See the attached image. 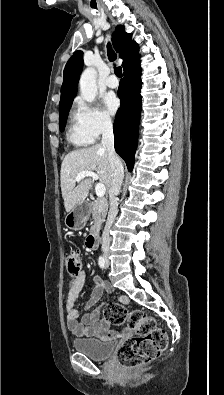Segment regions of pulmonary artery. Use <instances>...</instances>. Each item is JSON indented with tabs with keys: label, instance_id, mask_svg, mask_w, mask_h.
<instances>
[{
	"label": "pulmonary artery",
	"instance_id": "obj_1",
	"mask_svg": "<svg viewBox=\"0 0 224 395\" xmlns=\"http://www.w3.org/2000/svg\"><path fill=\"white\" fill-rule=\"evenodd\" d=\"M105 84L109 88H116L118 86V80L114 75H111L106 79Z\"/></svg>",
	"mask_w": 224,
	"mask_h": 395
}]
</instances>
